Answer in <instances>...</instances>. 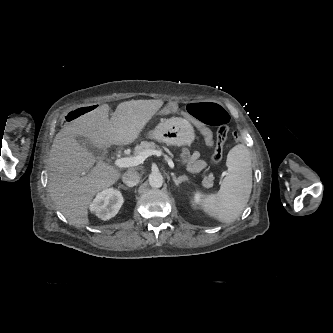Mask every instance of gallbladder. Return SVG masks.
Instances as JSON below:
<instances>
[{
  "label": "gallbladder",
  "instance_id": "1",
  "mask_svg": "<svg viewBox=\"0 0 333 333\" xmlns=\"http://www.w3.org/2000/svg\"><path fill=\"white\" fill-rule=\"evenodd\" d=\"M76 141L91 152L96 159L105 160L107 158V151L104 148H98L89 138L77 135Z\"/></svg>",
  "mask_w": 333,
  "mask_h": 333
}]
</instances>
